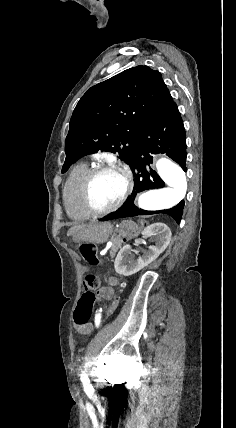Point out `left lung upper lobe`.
I'll return each instance as SVG.
<instances>
[{"label": "left lung upper lobe", "instance_id": "left-lung-upper-lobe-1", "mask_svg": "<svg viewBox=\"0 0 236 428\" xmlns=\"http://www.w3.org/2000/svg\"><path fill=\"white\" fill-rule=\"evenodd\" d=\"M172 102L161 74L148 66L127 69L91 87L73 111L62 173L99 150L118 152L131 165L141 131Z\"/></svg>", "mask_w": 236, "mask_h": 428}]
</instances>
